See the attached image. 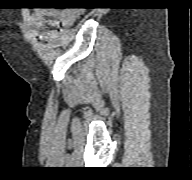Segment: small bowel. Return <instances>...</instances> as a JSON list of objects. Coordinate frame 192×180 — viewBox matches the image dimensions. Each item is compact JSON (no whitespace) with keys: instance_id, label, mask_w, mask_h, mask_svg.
Returning a JSON list of instances; mask_svg holds the SVG:
<instances>
[{"instance_id":"obj_1","label":"small bowel","mask_w":192,"mask_h":180,"mask_svg":"<svg viewBox=\"0 0 192 180\" xmlns=\"http://www.w3.org/2000/svg\"><path fill=\"white\" fill-rule=\"evenodd\" d=\"M76 16L62 10L39 9L32 14L31 22L35 26L45 23L50 25L70 26L74 23Z\"/></svg>"}]
</instances>
